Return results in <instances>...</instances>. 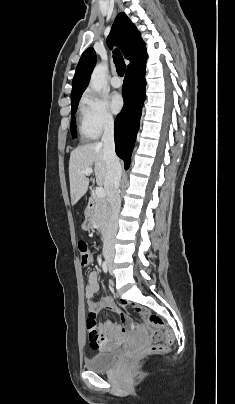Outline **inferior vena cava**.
I'll use <instances>...</instances> for the list:
<instances>
[{"mask_svg": "<svg viewBox=\"0 0 235 404\" xmlns=\"http://www.w3.org/2000/svg\"><path fill=\"white\" fill-rule=\"evenodd\" d=\"M101 142L103 144L104 159L107 167L105 179L106 193L109 205L111 207L109 222L106 234L104 236L103 250L105 254L114 255V243L118 230V217L121 207L119 185L122 169L119 159L115 153L113 118L106 119Z\"/></svg>", "mask_w": 235, "mask_h": 404, "instance_id": "1", "label": "inferior vena cava"}]
</instances>
